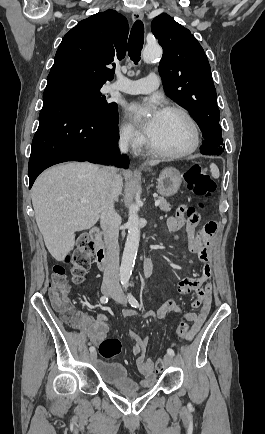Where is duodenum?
I'll return each mask as SVG.
<instances>
[{"mask_svg":"<svg viewBox=\"0 0 265 434\" xmlns=\"http://www.w3.org/2000/svg\"><path fill=\"white\" fill-rule=\"evenodd\" d=\"M91 239L97 244V248L95 250V259L96 264L99 269L106 268L107 262V251L106 249L99 244L100 241V230L98 228H92L90 230ZM142 273L144 278H149L154 271V261L151 257H146L142 261Z\"/></svg>","mask_w":265,"mask_h":434,"instance_id":"obj_1","label":"duodenum"}]
</instances>
